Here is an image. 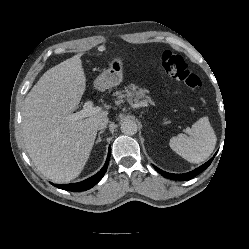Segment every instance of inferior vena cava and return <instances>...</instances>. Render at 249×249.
I'll return each instance as SVG.
<instances>
[{"label":"inferior vena cava","mask_w":249,"mask_h":249,"mask_svg":"<svg viewBox=\"0 0 249 249\" xmlns=\"http://www.w3.org/2000/svg\"><path fill=\"white\" fill-rule=\"evenodd\" d=\"M107 124H108V118L107 117H101V118H98L94 122V128L96 130H101V129L106 128Z\"/></svg>","instance_id":"1"}]
</instances>
